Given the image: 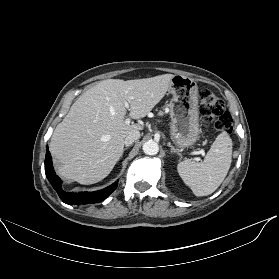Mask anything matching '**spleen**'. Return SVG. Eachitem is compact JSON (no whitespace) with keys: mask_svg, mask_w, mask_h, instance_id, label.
Listing matches in <instances>:
<instances>
[{"mask_svg":"<svg viewBox=\"0 0 279 279\" xmlns=\"http://www.w3.org/2000/svg\"><path fill=\"white\" fill-rule=\"evenodd\" d=\"M232 161V140L222 132L213 142L203 162L184 160L177 171L194 195L207 196L213 193L225 179Z\"/></svg>","mask_w":279,"mask_h":279,"instance_id":"spleen-1","label":"spleen"}]
</instances>
